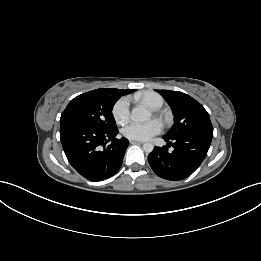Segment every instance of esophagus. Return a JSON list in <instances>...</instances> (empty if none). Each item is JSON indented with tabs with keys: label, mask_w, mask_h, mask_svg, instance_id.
I'll return each instance as SVG.
<instances>
[{
	"label": "esophagus",
	"mask_w": 261,
	"mask_h": 261,
	"mask_svg": "<svg viewBox=\"0 0 261 261\" xmlns=\"http://www.w3.org/2000/svg\"><path fill=\"white\" fill-rule=\"evenodd\" d=\"M130 143L133 144V145H140V144H143V142L141 141H136V140H130Z\"/></svg>",
	"instance_id": "esophagus-1"
}]
</instances>
